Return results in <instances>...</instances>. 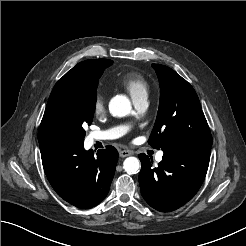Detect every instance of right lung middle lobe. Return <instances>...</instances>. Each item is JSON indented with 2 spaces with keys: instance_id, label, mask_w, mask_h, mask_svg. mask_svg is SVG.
<instances>
[{
  "instance_id": "right-lung-middle-lobe-1",
  "label": "right lung middle lobe",
  "mask_w": 246,
  "mask_h": 246,
  "mask_svg": "<svg viewBox=\"0 0 246 246\" xmlns=\"http://www.w3.org/2000/svg\"><path fill=\"white\" fill-rule=\"evenodd\" d=\"M112 62L103 59L93 64L83 82L57 96L48 123L50 136L66 135L84 139L85 130L82 126L92 123L99 78Z\"/></svg>"
}]
</instances>
